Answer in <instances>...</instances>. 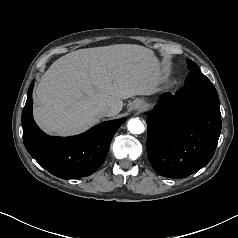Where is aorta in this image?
<instances>
[{"label": "aorta", "mask_w": 238, "mask_h": 238, "mask_svg": "<svg viewBox=\"0 0 238 238\" xmlns=\"http://www.w3.org/2000/svg\"><path fill=\"white\" fill-rule=\"evenodd\" d=\"M128 130L132 134H141L145 131L144 124L139 118H132L128 121L127 124Z\"/></svg>", "instance_id": "1"}]
</instances>
